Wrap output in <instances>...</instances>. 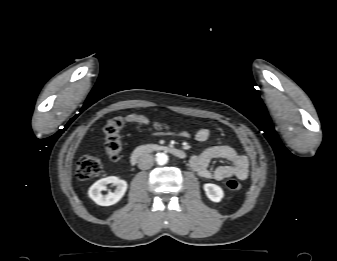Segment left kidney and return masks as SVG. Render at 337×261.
<instances>
[{
    "instance_id": "1",
    "label": "left kidney",
    "mask_w": 337,
    "mask_h": 261,
    "mask_svg": "<svg viewBox=\"0 0 337 261\" xmlns=\"http://www.w3.org/2000/svg\"><path fill=\"white\" fill-rule=\"evenodd\" d=\"M203 188L207 197L213 202H220L224 196L222 188L216 184L206 183Z\"/></svg>"
}]
</instances>
